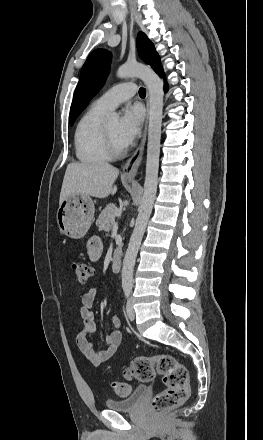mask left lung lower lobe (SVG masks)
<instances>
[{"mask_svg":"<svg viewBox=\"0 0 263 440\" xmlns=\"http://www.w3.org/2000/svg\"><path fill=\"white\" fill-rule=\"evenodd\" d=\"M155 71L160 75V76H164V72H163V68L162 66H158ZM165 90H167V85H165Z\"/></svg>","mask_w":263,"mask_h":440,"instance_id":"left-lung-lower-lobe-1","label":"left lung lower lobe"}]
</instances>
